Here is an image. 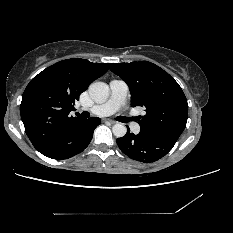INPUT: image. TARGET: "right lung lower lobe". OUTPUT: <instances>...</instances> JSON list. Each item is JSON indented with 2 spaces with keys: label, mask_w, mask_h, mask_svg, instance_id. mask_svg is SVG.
<instances>
[{
  "label": "right lung lower lobe",
  "mask_w": 233,
  "mask_h": 233,
  "mask_svg": "<svg viewBox=\"0 0 233 233\" xmlns=\"http://www.w3.org/2000/svg\"><path fill=\"white\" fill-rule=\"evenodd\" d=\"M100 118L79 119L63 129L49 141L35 148L52 159H68L82 152L90 143Z\"/></svg>",
  "instance_id": "98d812e1"
}]
</instances>
